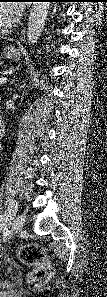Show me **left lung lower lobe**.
<instances>
[{
    "mask_svg": "<svg viewBox=\"0 0 107 297\" xmlns=\"http://www.w3.org/2000/svg\"><path fill=\"white\" fill-rule=\"evenodd\" d=\"M49 2H66L65 0H47Z\"/></svg>",
    "mask_w": 107,
    "mask_h": 297,
    "instance_id": "left-lung-lower-lobe-1",
    "label": "left lung lower lobe"
}]
</instances>
